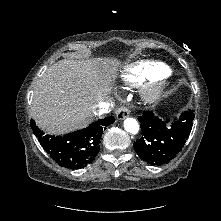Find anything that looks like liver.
<instances>
[{
  "mask_svg": "<svg viewBox=\"0 0 221 221\" xmlns=\"http://www.w3.org/2000/svg\"><path fill=\"white\" fill-rule=\"evenodd\" d=\"M117 62L94 58L64 59L50 66L34 90L31 115L49 134H64L94 120L97 105L107 98Z\"/></svg>",
  "mask_w": 221,
  "mask_h": 221,
  "instance_id": "obj_1",
  "label": "liver"
}]
</instances>
